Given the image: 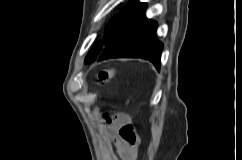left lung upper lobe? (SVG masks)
I'll list each match as a JSON object with an SVG mask.
<instances>
[{"label":"left lung upper lobe","mask_w":242,"mask_h":160,"mask_svg":"<svg viewBox=\"0 0 242 160\" xmlns=\"http://www.w3.org/2000/svg\"><path fill=\"white\" fill-rule=\"evenodd\" d=\"M145 10V3H140L138 0H130L124 7L123 11L107 25L106 30L108 33L105 34L103 43L98 42L94 46V49L88 53L85 63L93 62L103 50L104 45L124 28L131 25L142 13H144Z\"/></svg>","instance_id":"5c2ea615"}]
</instances>
